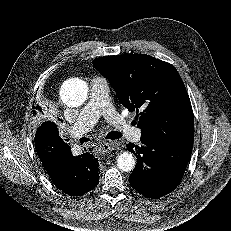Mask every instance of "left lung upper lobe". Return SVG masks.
I'll return each instance as SVG.
<instances>
[{
	"label": "left lung upper lobe",
	"mask_w": 231,
	"mask_h": 231,
	"mask_svg": "<svg viewBox=\"0 0 231 231\" xmlns=\"http://www.w3.org/2000/svg\"><path fill=\"white\" fill-rule=\"evenodd\" d=\"M93 66L109 80L120 103L139 113L141 139L192 149V106L173 65L146 54H123L97 58Z\"/></svg>",
	"instance_id": "5c2ea615"
}]
</instances>
